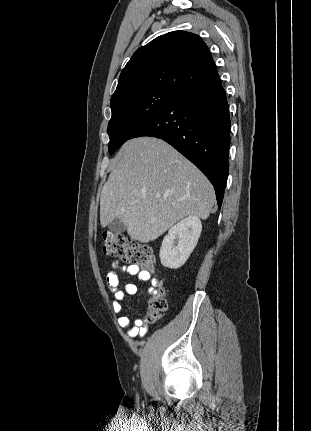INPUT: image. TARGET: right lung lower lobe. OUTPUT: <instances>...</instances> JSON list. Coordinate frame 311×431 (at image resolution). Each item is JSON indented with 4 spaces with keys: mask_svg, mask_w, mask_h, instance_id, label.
I'll return each instance as SVG.
<instances>
[{
    "mask_svg": "<svg viewBox=\"0 0 311 431\" xmlns=\"http://www.w3.org/2000/svg\"><path fill=\"white\" fill-rule=\"evenodd\" d=\"M230 116L220 77L181 93L129 137L163 139L213 184L219 208L228 178Z\"/></svg>",
    "mask_w": 311,
    "mask_h": 431,
    "instance_id": "right-lung-lower-lobe-1",
    "label": "right lung lower lobe"
}]
</instances>
